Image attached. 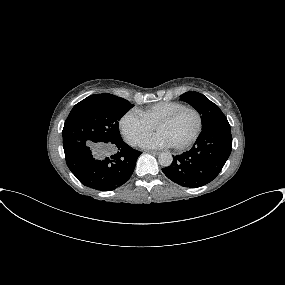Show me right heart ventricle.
<instances>
[{
	"label": "right heart ventricle",
	"instance_id": "e07e8e85",
	"mask_svg": "<svg viewBox=\"0 0 285 285\" xmlns=\"http://www.w3.org/2000/svg\"><path fill=\"white\" fill-rule=\"evenodd\" d=\"M183 106L185 105L178 101H162L150 105L145 109H140L138 112L154 127L161 118Z\"/></svg>",
	"mask_w": 285,
	"mask_h": 285
}]
</instances>
